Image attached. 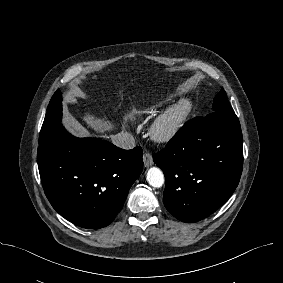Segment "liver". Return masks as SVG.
Here are the masks:
<instances>
[{"instance_id": "obj_1", "label": "liver", "mask_w": 283, "mask_h": 283, "mask_svg": "<svg viewBox=\"0 0 283 283\" xmlns=\"http://www.w3.org/2000/svg\"><path fill=\"white\" fill-rule=\"evenodd\" d=\"M132 113H137V111L133 109ZM82 119L87 124L88 128L93 129L97 133L104 134L106 131L111 130L112 128L110 123H108L107 121H104V119H100L96 117L91 112L84 113ZM69 122L70 124H72V126H74L82 134L88 133L87 129L83 127L78 121H76L75 118L70 117Z\"/></svg>"}]
</instances>
